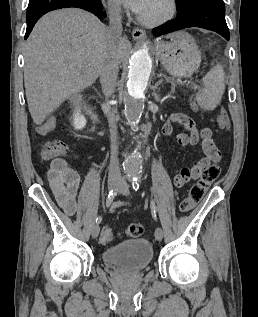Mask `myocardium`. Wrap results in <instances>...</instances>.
I'll list each match as a JSON object with an SVG mask.
<instances>
[{
  "instance_id": "obj_1",
  "label": "myocardium",
  "mask_w": 258,
  "mask_h": 317,
  "mask_svg": "<svg viewBox=\"0 0 258 317\" xmlns=\"http://www.w3.org/2000/svg\"><path fill=\"white\" fill-rule=\"evenodd\" d=\"M159 3L167 4L168 11L156 20L149 19L146 12ZM175 12L176 5L173 0H150L142 7L141 10L137 11V19L139 23L145 27L157 28L171 20L174 17Z\"/></svg>"
}]
</instances>
